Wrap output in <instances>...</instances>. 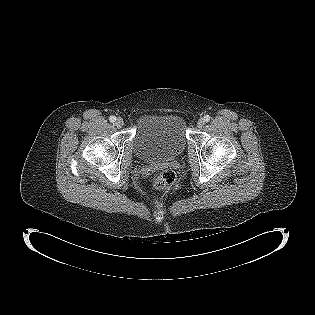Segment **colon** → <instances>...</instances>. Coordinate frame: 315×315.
Returning <instances> with one entry per match:
<instances>
[{
  "mask_svg": "<svg viewBox=\"0 0 315 315\" xmlns=\"http://www.w3.org/2000/svg\"><path fill=\"white\" fill-rule=\"evenodd\" d=\"M176 181V175L172 170H164L159 173L153 180L155 189L168 192Z\"/></svg>",
  "mask_w": 315,
  "mask_h": 315,
  "instance_id": "5ec220e1",
  "label": "colon"
}]
</instances>
